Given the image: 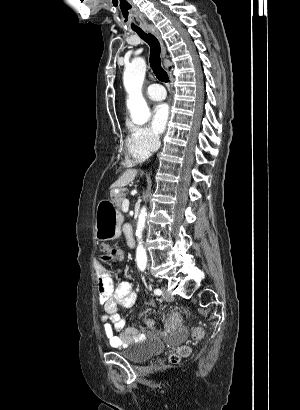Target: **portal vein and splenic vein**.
Here are the masks:
<instances>
[{"label": "portal vein and splenic vein", "mask_w": 300, "mask_h": 410, "mask_svg": "<svg viewBox=\"0 0 300 410\" xmlns=\"http://www.w3.org/2000/svg\"><path fill=\"white\" fill-rule=\"evenodd\" d=\"M122 209H123L124 212L128 211V209H129V200L126 199V198L123 200Z\"/></svg>", "instance_id": "1"}]
</instances>
